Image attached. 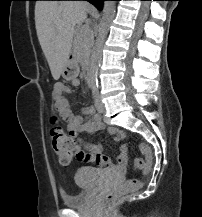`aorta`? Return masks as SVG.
I'll use <instances>...</instances> for the list:
<instances>
[{
  "instance_id": "aorta-1",
  "label": "aorta",
  "mask_w": 202,
  "mask_h": 217,
  "mask_svg": "<svg viewBox=\"0 0 202 217\" xmlns=\"http://www.w3.org/2000/svg\"><path fill=\"white\" fill-rule=\"evenodd\" d=\"M115 8V1L108 0L105 1L103 4V16L91 56L90 72L93 79H96L98 66L102 57L103 45L108 33L109 25L115 15Z\"/></svg>"
}]
</instances>
